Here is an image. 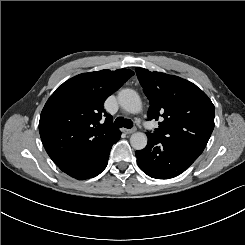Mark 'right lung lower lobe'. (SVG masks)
I'll use <instances>...</instances> for the list:
<instances>
[{"mask_svg":"<svg viewBox=\"0 0 245 245\" xmlns=\"http://www.w3.org/2000/svg\"><path fill=\"white\" fill-rule=\"evenodd\" d=\"M120 136L121 132L119 131L102 146L89 148L79 152L65 165L60 166L59 168L67 175L77 180H84L97 176L106 168L111 147L120 139Z\"/></svg>","mask_w":245,"mask_h":245,"instance_id":"1","label":"right lung lower lobe"}]
</instances>
